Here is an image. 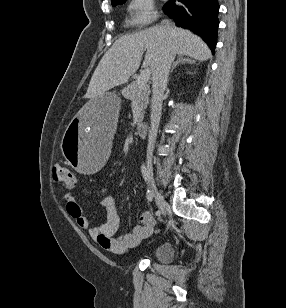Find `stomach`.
Listing matches in <instances>:
<instances>
[{"label": "stomach", "instance_id": "stomach-1", "mask_svg": "<svg viewBox=\"0 0 286 308\" xmlns=\"http://www.w3.org/2000/svg\"><path fill=\"white\" fill-rule=\"evenodd\" d=\"M121 116L118 93H101L90 97L85 109H80L71 122H65L60 149L74 171L99 174L104 161L111 156L112 135L119 133Z\"/></svg>", "mask_w": 286, "mask_h": 308}]
</instances>
